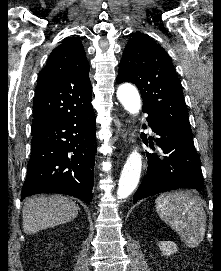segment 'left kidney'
<instances>
[{
    "label": "left kidney",
    "mask_w": 221,
    "mask_h": 271,
    "mask_svg": "<svg viewBox=\"0 0 221 271\" xmlns=\"http://www.w3.org/2000/svg\"><path fill=\"white\" fill-rule=\"evenodd\" d=\"M158 245L163 255H172V253L178 251V245H176L175 241H159Z\"/></svg>",
    "instance_id": "left-kidney-1"
}]
</instances>
